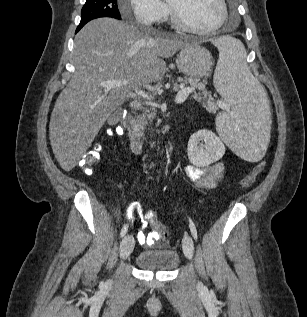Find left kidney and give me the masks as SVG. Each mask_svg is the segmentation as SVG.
<instances>
[{
    "instance_id": "left-kidney-1",
    "label": "left kidney",
    "mask_w": 307,
    "mask_h": 317,
    "mask_svg": "<svg viewBox=\"0 0 307 317\" xmlns=\"http://www.w3.org/2000/svg\"><path fill=\"white\" fill-rule=\"evenodd\" d=\"M204 141V145L203 142ZM188 158L197 167H206L225 154V146L220 138L209 130H199L194 133L188 142Z\"/></svg>"
}]
</instances>
